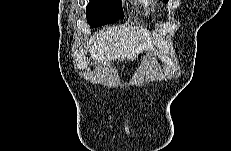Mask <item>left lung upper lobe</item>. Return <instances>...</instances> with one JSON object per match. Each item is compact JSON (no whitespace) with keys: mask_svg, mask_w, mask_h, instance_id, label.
<instances>
[{"mask_svg":"<svg viewBox=\"0 0 231 151\" xmlns=\"http://www.w3.org/2000/svg\"><path fill=\"white\" fill-rule=\"evenodd\" d=\"M164 2H168V0H163Z\"/></svg>","mask_w":231,"mask_h":151,"instance_id":"left-lung-upper-lobe-1","label":"left lung upper lobe"}]
</instances>
